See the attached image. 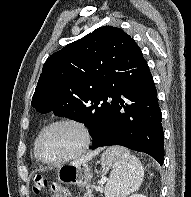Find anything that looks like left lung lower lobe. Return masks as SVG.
<instances>
[{"mask_svg":"<svg viewBox=\"0 0 191 197\" xmlns=\"http://www.w3.org/2000/svg\"><path fill=\"white\" fill-rule=\"evenodd\" d=\"M88 120L92 149L121 145L147 153L163 164L161 110L149 68L122 75L119 86Z\"/></svg>","mask_w":191,"mask_h":197,"instance_id":"1","label":"left lung lower lobe"}]
</instances>
